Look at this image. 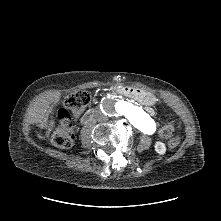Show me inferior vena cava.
Wrapping results in <instances>:
<instances>
[{"instance_id":"602c4592","label":"inferior vena cava","mask_w":221,"mask_h":221,"mask_svg":"<svg viewBox=\"0 0 221 221\" xmlns=\"http://www.w3.org/2000/svg\"><path fill=\"white\" fill-rule=\"evenodd\" d=\"M97 119L100 120V121H105V120H107V116L102 114V113H98L97 114Z\"/></svg>"}]
</instances>
